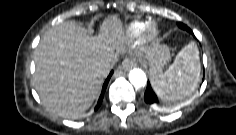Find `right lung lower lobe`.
<instances>
[{
  "label": "right lung lower lobe",
  "mask_w": 236,
  "mask_h": 135,
  "mask_svg": "<svg viewBox=\"0 0 236 135\" xmlns=\"http://www.w3.org/2000/svg\"><path fill=\"white\" fill-rule=\"evenodd\" d=\"M112 74H113V71H111V73L109 74V76L107 77V79H106V81H105V83H104V85H103L102 93H101V95H100V97H99V100H98L97 106L95 107V110H97V109L99 108V106L101 105V102H102L103 97H104V92H105V90H106L107 84H108L109 79H110V77L112 76Z\"/></svg>",
  "instance_id": "1"
}]
</instances>
